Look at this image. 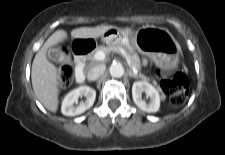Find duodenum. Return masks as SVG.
<instances>
[{
	"label": "duodenum",
	"mask_w": 225,
	"mask_h": 155,
	"mask_svg": "<svg viewBox=\"0 0 225 155\" xmlns=\"http://www.w3.org/2000/svg\"><path fill=\"white\" fill-rule=\"evenodd\" d=\"M93 46L86 42H78L74 46V54H75V77L76 81L81 83L85 79L84 68H85V60L88 54L92 51Z\"/></svg>",
	"instance_id": "1"
}]
</instances>
